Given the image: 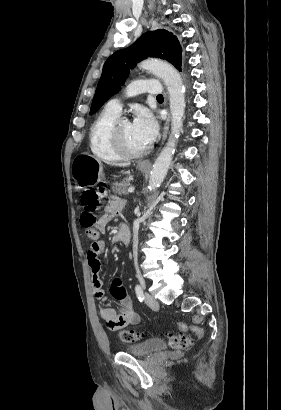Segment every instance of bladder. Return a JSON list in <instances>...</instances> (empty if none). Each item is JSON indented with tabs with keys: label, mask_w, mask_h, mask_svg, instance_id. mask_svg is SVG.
I'll return each mask as SVG.
<instances>
[{
	"label": "bladder",
	"mask_w": 281,
	"mask_h": 410,
	"mask_svg": "<svg viewBox=\"0 0 281 410\" xmlns=\"http://www.w3.org/2000/svg\"><path fill=\"white\" fill-rule=\"evenodd\" d=\"M167 344L160 339H149L135 345L126 346L124 350L137 357H147L155 353L164 351Z\"/></svg>",
	"instance_id": "obj_1"
}]
</instances>
